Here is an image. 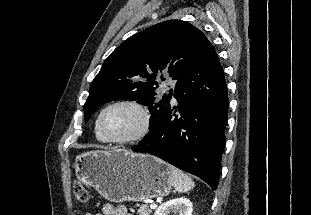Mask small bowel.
Listing matches in <instances>:
<instances>
[{"label": "small bowel", "mask_w": 311, "mask_h": 215, "mask_svg": "<svg viewBox=\"0 0 311 215\" xmlns=\"http://www.w3.org/2000/svg\"><path fill=\"white\" fill-rule=\"evenodd\" d=\"M84 215H132L128 212L125 206H113L112 204H105L102 211L97 214L85 213Z\"/></svg>", "instance_id": "1"}]
</instances>
